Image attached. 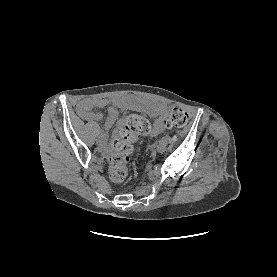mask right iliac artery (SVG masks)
I'll return each mask as SVG.
<instances>
[{
	"label": "right iliac artery",
	"instance_id": "obj_1",
	"mask_svg": "<svg viewBox=\"0 0 277 277\" xmlns=\"http://www.w3.org/2000/svg\"><path fill=\"white\" fill-rule=\"evenodd\" d=\"M98 136H99V138H102V137L105 136V133L104 132H99Z\"/></svg>",
	"mask_w": 277,
	"mask_h": 277
}]
</instances>
